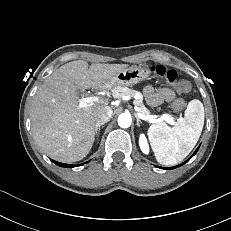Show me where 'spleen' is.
I'll use <instances>...</instances> for the list:
<instances>
[{
    "instance_id": "obj_1",
    "label": "spleen",
    "mask_w": 231,
    "mask_h": 231,
    "mask_svg": "<svg viewBox=\"0 0 231 231\" xmlns=\"http://www.w3.org/2000/svg\"><path fill=\"white\" fill-rule=\"evenodd\" d=\"M204 116L202 102L194 99L188 103L184 119L176 126L171 128L163 123L151 125L147 134L156 160L166 166L181 162L199 140Z\"/></svg>"
}]
</instances>
